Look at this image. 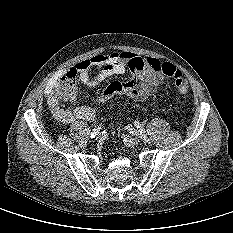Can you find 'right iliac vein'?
<instances>
[{"instance_id": "obj_1", "label": "right iliac vein", "mask_w": 233, "mask_h": 233, "mask_svg": "<svg viewBox=\"0 0 233 233\" xmlns=\"http://www.w3.org/2000/svg\"><path fill=\"white\" fill-rule=\"evenodd\" d=\"M96 140H97L98 142L102 141V134H101V133H98V134H97Z\"/></svg>"}]
</instances>
